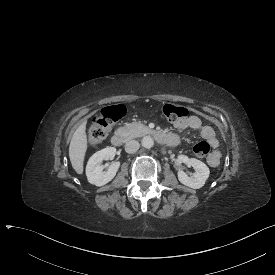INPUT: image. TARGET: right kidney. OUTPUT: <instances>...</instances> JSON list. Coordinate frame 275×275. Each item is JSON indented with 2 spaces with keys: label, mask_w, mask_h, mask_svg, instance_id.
I'll list each match as a JSON object with an SVG mask.
<instances>
[{
  "label": "right kidney",
  "mask_w": 275,
  "mask_h": 275,
  "mask_svg": "<svg viewBox=\"0 0 275 275\" xmlns=\"http://www.w3.org/2000/svg\"><path fill=\"white\" fill-rule=\"evenodd\" d=\"M115 154L116 148L106 147L90 157L86 166V176L89 183L103 186L115 177L120 162H113L106 172H103V166L101 165L103 160L113 159Z\"/></svg>",
  "instance_id": "right-kidney-1"
}]
</instances>
